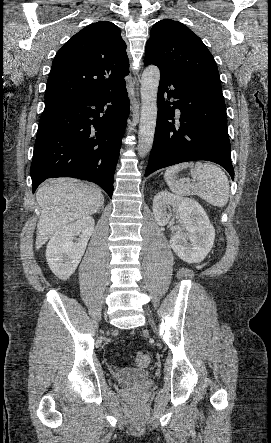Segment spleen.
Wrapping results in <instances>:
<instances>
[{"instance_id":"3e777b00","label":"spleen","mask_w":271,"mask_h":443,"mask_svg":"<svg viewBox=\"0 0 271 443\" xmlns=\"http://www.w3.org/2000/svg\"><path fill=\"white\" fill-rule=\"evenodd\" d=\"M190 168V176L197 182H187L176 180L178 172ZM164 180L170 190L176 196H199L211 206L223 208L229 200V182L223 170L213 164H201V162H184L168 168L164 174Z\"/></svg>"}]
</instances>
